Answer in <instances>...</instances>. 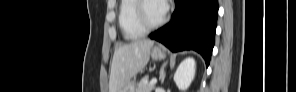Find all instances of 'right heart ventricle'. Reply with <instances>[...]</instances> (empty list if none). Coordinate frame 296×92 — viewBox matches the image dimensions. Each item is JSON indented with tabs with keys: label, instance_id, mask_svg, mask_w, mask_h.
<instances>
[{
	"label": "right heart ventricle",
	"instance_id": "right-heart-ventricle-1",
	"mask_svg": "<svg viewBox=\"0 0 296 92\" xmlns=\"http://www.w3.org/2000/svg\"><path fill=\"white\" fill-rule=\"evenodd\" d=\"M136 0H123L119 6L118 23L125 39L132 40L142 37L145 31L135 19Z\"/></svg>",
	"mask_w": 296,
	"mask_h": 92
}]
</instances>
